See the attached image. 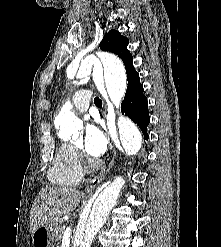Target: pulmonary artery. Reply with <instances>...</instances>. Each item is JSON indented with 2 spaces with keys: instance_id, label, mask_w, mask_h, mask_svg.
Here are the masks:
<instances>
[{
  "instance_id": "e3ab8cb5",
  "label": "pulmonary artery",
  "mask_w": 221,
  "mask_h": 247,
  "mask_svg": "<svg viewBox=\"0 0 221 247\" xmlns=\"http://www.w3.org/2000/svg\"><path fill=\"white\" fill-rule=\"evenodd\" d=\"M92 93L88 90L81 89L74 93L72 103L74 108L79 112H85L89 107Z\"/></svg>"
}]
</instances>
